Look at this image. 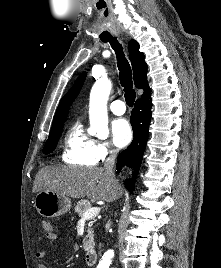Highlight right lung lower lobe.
<instances>
[{
  "mask_svg": "<svg viewBox=\"0 0 221 268\" xmlns=\"http://www.w3.org/2000/svg\"><path fill=\"white\" fill-rule=\"evenodd\" d=\"M151 107V94L136 101L135 108L132 110L130 118L134 138L131 145L120 154L117 161L118 170H121L124 165L133 166L135 168V174L132 180L125 181L126 188L130 192L134 189V181L140 168L148 140V129L151 121Z\"/></svg>",
  "mask_w": 221,
  "mask_h": 268,
  "instance_id": "obj_1",
  "label": "right lung lower lobe"
}]
</instances>
